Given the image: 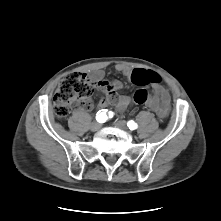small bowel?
I'll list each match as a JSON object with an SVG mask.
<instances>
[{"label": "small bowel", "mask_w": 221, "mask_h": 221, "mask_svg": "<svg viewBox=\"0 0 221 221\" xmlns=\"http://www.w3.org/2000/svg\"><path fill=\"white\" fill-rule=\"evenodd\" d=\"M117 70L126 76L131 78L132 72L135 69H131L124 65H117ZM148 72L144 69H139ZM89 82L96 88L105 91L107 94L99 101L100 108H106L110 105L115 106L119 111H124L131 103V99L125 95H118L115 90L122 87V83L118 80H105L104 72L100 69L92 71L88 77ZM134 82V81H133ZM135 83V82H134ZM136 84V83H135ZM151 84L152 95L148 98L146 105L149 109L156 113L158 118L164 119L167 117L171 100L169 92L166 88L159 84L150 83L147 79L141 82V86H147Z\"/></svg>", "instance_id": "small-bowel-1"}]
</instances>
